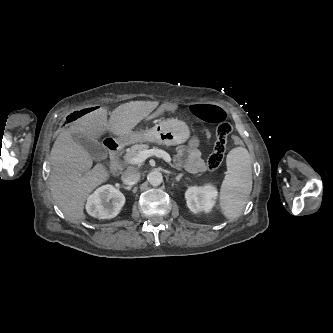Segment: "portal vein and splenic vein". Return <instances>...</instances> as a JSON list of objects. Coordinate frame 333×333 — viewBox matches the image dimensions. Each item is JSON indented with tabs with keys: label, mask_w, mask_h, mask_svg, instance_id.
<instances>
[{
	"label": "portal vein and splenic vein",
	"mask_w": 333,
	"mask_h": 333,
	"mask_svg": "<svg viewBox=\"0 0 333 333\" xmlns=\"http://www.w3.org/2000/svg\"><path fill=\"white\" fill-rule=\"evenodd\" d=\"M151 156H157L159 158H163L166 162H171V157L170 155L161 150V149H156V148H153V149H145V150H142L138 153V155L130 160H127V162L129 164H141L142 162H144L148 157H151Z\"/></svg>",
	"instance_id": "portal-vein-and-splenic-vein-1"
}]
</instances>
